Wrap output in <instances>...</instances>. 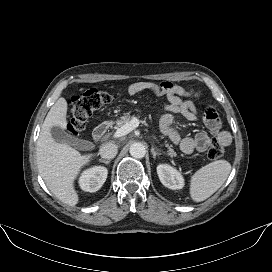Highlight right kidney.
I'll use <instances>...</instances> for the list:
<instances>
[{
	"instance_id": "obj_1",
	"label": "right kidney",
	"mask_w": 272,
	"mask_h": 272,
	"mask_svg": "<svg viewBox=\"0 0 272 272\" xmlns=\"http://www.w3.org/2000/svg\"><path fill=\"white\" fill-rule=\"evenodd\" d=\"M108 170L105 167L95 166L82 173L79 184L87 192L98 191L106 181Z\"/></svg>"
}]
</instances>
